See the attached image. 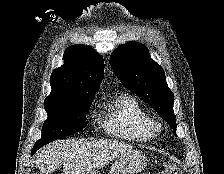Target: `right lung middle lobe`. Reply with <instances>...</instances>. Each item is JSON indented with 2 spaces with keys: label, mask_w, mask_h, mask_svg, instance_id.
<instances>
[{
  "label": "right lung middle lobe",
  "mask_w": 224,
  "mask_h": 174,
  "mask_svg": "<svg viewBox=\"0 0 224 174\" xmlns=\"http://www.w3.org/2000/svg\"><path fill=\"white\" fill-rule=\"evenodd\" d=\"M93 96L62 102H44L48 118L43 124L42 137L34 145L39 149L54 140L72 135L86 126V114Z\"/></svg>",
  "instance_id": "dd1d6c3e"
}]
</instances>
